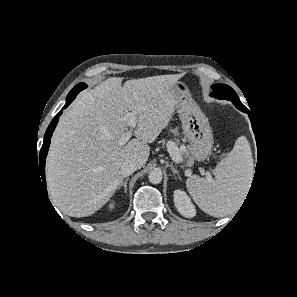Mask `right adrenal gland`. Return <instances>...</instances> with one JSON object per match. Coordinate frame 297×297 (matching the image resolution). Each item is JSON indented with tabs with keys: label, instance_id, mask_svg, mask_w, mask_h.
I'll return each instance as SVG.
<instances>
[{
	"label": "right adrenal gland",
	"instance_id": "2a0ac1e0",
	"mask_svg": "<svg viewBox=\"0 0 297 297\" xmlns=\"http://www.w3.org/2000/svg\"><path fill=\"white\" fill-rule=\"evenodd\" d=\"M128 180H129V179L126 178V179L124 180V182H122V183L119 184V186H118V188H117L118 191L120 190L121 187H124V192H125V193L127 192V182H128Z\"/></svg>",
	"mask_w": 297,
	"mask_h": 297
}]
</instances>
